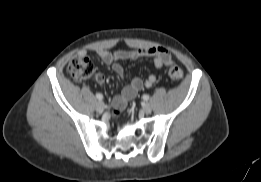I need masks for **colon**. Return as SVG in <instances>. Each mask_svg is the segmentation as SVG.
I'll use <instances>...</instances> for the list:
<instances>
[{
  "label": "colon",
  "instance_id": "1",
  "mask_svg": "<svg viewBox=\"0 0 261 182\" xmlns=\"http://www.w3.org/2000/svg\"><path fill=\"white\" fill-rule=\"evenodd\" d=\"M68 74L77 81L88 80L93 75V66L90 60L80 55H74L67 64ZM169 76L176 81L183 77V71L178 66L172 65L168 70Z\"/></svg>",
  "mask_w": 261,
  "mask_h": 182
}]
</instances>
